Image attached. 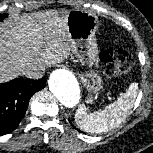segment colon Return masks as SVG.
Segmentation results:
<instances>
[{"label":"colon","mask_w":153,"mask_h":153,"mask_svg":"<svg viewBox=\"0 0 153 153\" xmlns=\"http://www.w3.org/2000/svg\"><path fill=\"white\" fill-rule=\"evenodd\" d=\"M99 58L104 65V74L107 77L126 73L132 66V57L130 53L118 46L111 47L102 52Z\"/></svg>","instance_id":"colon-1"}]
</instances>
